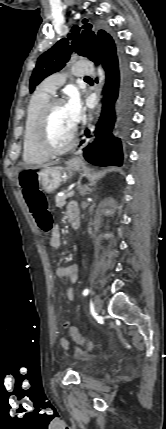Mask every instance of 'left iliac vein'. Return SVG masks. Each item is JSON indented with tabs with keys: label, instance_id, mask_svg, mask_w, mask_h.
Instances as JSON below:
<instances>
[{
	"label": "left iliac vein",
	"instance_id": "4c4485c4",
	"mask_svg": "<svg viewBox=\"0 0 166 429\" xmlns=\"http://www.w3.org/2000/svg\"><path fill=\"white\" fill-rule=\"evenodd\" d=\"M102 300H101V298L99 297V296H96L95 297V300H94V307H95V310H96V312L99 314L100 312H101V310H102Z\"/></svg>",
	"mask_w": 166,
	"mask_h": 429
}]
</instances>
